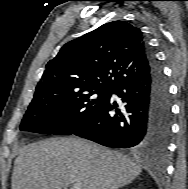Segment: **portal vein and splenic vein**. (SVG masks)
Here are the masks:
<instances>
[{
    "label": "portal vein and splenic vein",
    "instance_id": "obj_1",
    "mask_svg": "<svg viewBox=\"0 0 188 189\" xmlns=\"http://www.w3.org/2000/svg\"><path fill=\"white\" fill-rule=\"evenodd\" d=\"M71 189H81V186L77 183L73 184Z\"/></svg>",
    "mask_w": 188,
    "mask_h": 189
}]
</instances>
